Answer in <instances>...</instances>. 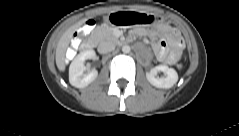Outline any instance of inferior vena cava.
<instances>
[{
  "label": "inferior vena cava",
  "instance_id": "602c4592",
  "mask_svg": "<svg viewBox=\"0 0 239 136\" xmlns=\"http://www.w3.org/2000/svg\"><path fill=\"white\" fill-rule=\"evenodd\" d=\"M115 50V44L112 41H103L98 46V52L106 54Z\"/></svg>",
  "mask_w": 239,
  "mask_h": 136
}]
</instances>
